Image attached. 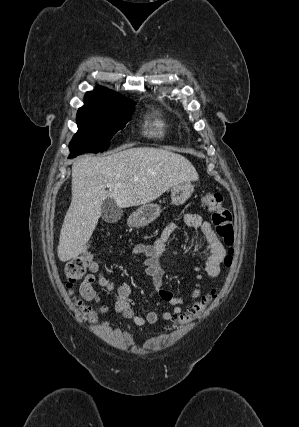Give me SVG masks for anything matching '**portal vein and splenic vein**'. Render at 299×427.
<instances>
[{
  "instance_id": "portal-vein-and-splenic-vein-1",
  "label": "portal vein and splenic vein",
  "mask_w": 299,
  "mask_h": 427,
  "mask_svg": "<svg viewBox=\"0 0 299 427\" xmlns=\"http://www.w3.org/2000/svg\"><path fill=\"white\" fill-rule=\"evenodd\" d=\"M134 180L137 181L138 179L135 178ZM107 186H109V185H107Z\"/></svg>"
}]
</instances>
